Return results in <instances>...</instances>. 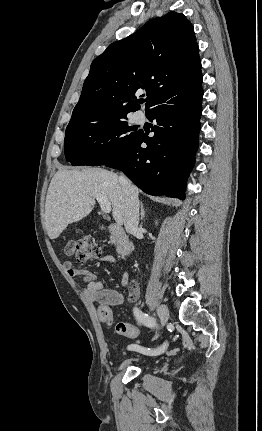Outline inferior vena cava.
Masks as SVG:
<instances>
[{"instance_id":"1","label":"inferior vena cava","mask_w":262,"mask_h":431,"mask_svg":"<svg viewBox=\"0 0 262 431\" xmlns=\"http://www.w3.org/2000/svg\"><path fill=\"white\" fill-rule=\"evenodd\" d=\"M119 181L125 191L124 200V226L127 232H134L138 229L139 225V200L132 190L130 182L124 177L120 176Z\"/></svg>"}]
</instances>
